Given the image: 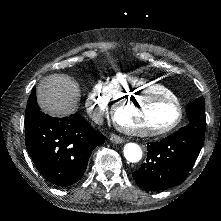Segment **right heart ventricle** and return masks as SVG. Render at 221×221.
<instances>
[{"label": "right heart ventricle", "instance_id": "1", "mask_svg": "<svg viewBox=\"0 0 221 221\" xmlns=\"http://www.w3.org/2000/svg\"><path fill=\"white\" fill-rule=\"evenodd\" d=\"M146 79L140 80L129 75H118L111 81L108 90L113 98L124 99L132 97H143L155 94L157 96L171 97L172 89L156 83H149Z\"/></svg>", "mask_w": 221, "mask_h": 221}]
</instances>
